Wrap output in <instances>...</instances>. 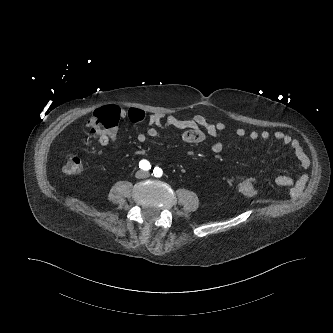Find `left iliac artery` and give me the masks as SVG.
Returning a JSON list of instances; mask_svg holds the SVG:
<instances>
[{
	"label": "left iliac artery",
	"instance_id": "obj_1",
	"mask_svg": "<svg viewBox=\"0 0 333 333\" xmlns=\"http://www.w3.org/2000/svg\"><path fill=\"white\" fill-rule=\"evenodd\" d=\"M154 176L161 177L163 174V171L160 167H155L153 170Z\"/></svg>",
	"mask_w": 333,
	"mask_h": 333
}]
</instances>
